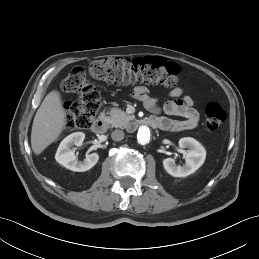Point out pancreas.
<instances>
[{
    "label": "pancreas",
    "mask_w": 259,
    "mask_h": 259,
    "mask_svg": "<svg viewBox=\"0 0 259 259\" xmlns=\"http://www.w3.org/2000/svg\"><path fill=\"white\" fill-rule=\"evenodd\" d=\"M108 115L106 117L107 123L115 128H126L130 121L134 119V116L127 115L126 112L119 108H112Z\"/></svg>",
    "instance_id": "pancreas-1"
}]
</instances>
